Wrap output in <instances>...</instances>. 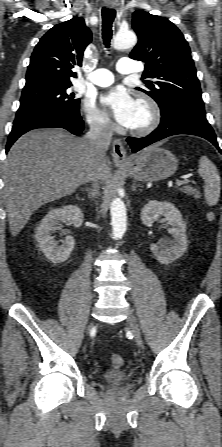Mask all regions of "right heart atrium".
Returning <instances> with one entry per match:
<instances>
[{"label": "right heart atrium", "mask_w": 222, "mask_h": 447, "mask_svg": "<svg viewBox=\"0 0 222 447\" xmlns=\"http://www.w3.org/2000/svg\"><path fill=\"white\" fill-rule=\"evenodd\" d=\"M81 111L84 120L91 128L101 132L112 130V123L108 117L90 103L84 104Z\"/></svg>", "instance_id": "obj_1"}]
</instances>
